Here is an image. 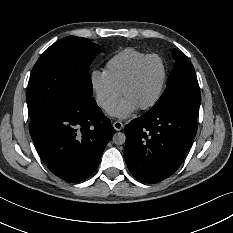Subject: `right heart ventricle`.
<instances>
[{
  "label": "right heart ventricle",
  "mask_w": 233,
  "mask_h": 233,
  "mask_svg": "<svg viewBox=\"0 0 233 233\" xmlns=\"http://www.w3.org/2000/svg\"><path fill=\"white\" fill-rule=\"evenodd\" d=\"M148 54L134 48H125L112 55L105 63L104 73L119 89L133 69Z\"/></svg>",
  "instance_id": "right-heart-ventricle-1"
}]
</instances>
